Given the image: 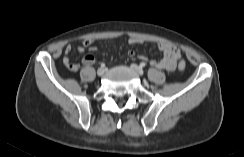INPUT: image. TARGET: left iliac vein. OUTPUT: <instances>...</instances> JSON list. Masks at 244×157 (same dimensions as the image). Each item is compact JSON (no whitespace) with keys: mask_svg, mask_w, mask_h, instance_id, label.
Instances as JSON below:
<instances>
[{"mask_svg":"<svg viewBox=\"0 0 244 157\" xmlns=\"http://www.w3.org/2000/svg\"><path fill=\"white\" fill-rule=\"evenodd\" d=\"M131 69L136 72L138 75H143V70L138 67L136 64H131Z\"/></svg>","mask_w":244,"mask_h":157,"instance_id":"1","label":"left iliac vein"}]
</instances>
